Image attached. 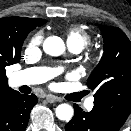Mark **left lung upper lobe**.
Returning <instances> with one entry per match:
<instances>
[{"label": "left lung upper lobe", "instance_id": "obj_1", "mask_svg": "<svg viewBox=\"0 0 131 131\" xmlns=\"http://www.w3.org/2000/svg\"><path fill=\"white\" fill-rule=\"evenodd\" d=\"M104 54L87 80L94 107L122 126L131 113V42L116 27L100 26Z\"/></svg>", "mask_w": 131, "mask_h": 131}]
</instances>
